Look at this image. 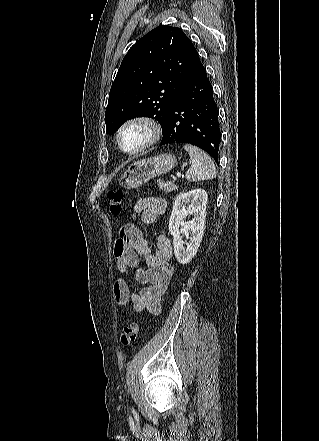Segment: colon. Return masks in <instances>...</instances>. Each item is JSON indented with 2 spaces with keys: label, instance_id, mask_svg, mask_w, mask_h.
<instances>
[{
  "label": "colon",
  "instance_id": "5ec220e1",
  "mask_svg": "<svg viewBox=\"0 0 319 441\" xmlns=\"http://www.w3.org/2000/svg\"><path fill=\"white\" fill-rule=\"evenodd\" d=\"M124 194L120 190H111L107 194V203L110 213L118 216L123 209ZM139 333V326L135 322L125 325L121 331L120 340L123 345L129 346L136 341Z\"/></svg>",
  "mask_w": 319,
  "mask_h": 441
}]
</instances>
